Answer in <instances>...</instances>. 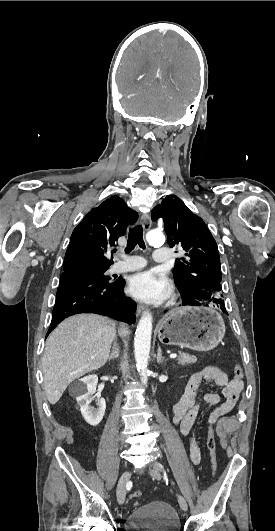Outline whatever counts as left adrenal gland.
Here are the masks:
<instances>
[{
    "instance_id": "left-adrenal-gland-1",
    "label": "left adrenal gland",
    "mask_w": 275,
    "mask_h": 531,
    "mask_svg": "<svg viewBox=\"0 0 275 531\" xmlns=\"http://www.w3.org/2000/svg\"><path fill=\"white\" fill-rule=\"evenodd\" d=\"M166 361L165 357H162V351L160 345H158V353H157V363H164Z\"/></svg>"
}]
</instances>
